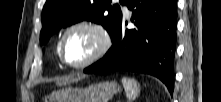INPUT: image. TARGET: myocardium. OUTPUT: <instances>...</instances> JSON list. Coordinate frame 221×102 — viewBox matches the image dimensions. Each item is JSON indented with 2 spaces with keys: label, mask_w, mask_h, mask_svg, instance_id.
Returning a JSON list of instances; mask_svg holds the SVG:
<instances>
[{
  "label": "myocardium",
  "mask_w": 221,
  "mask_h": 102,
  "mask_svg": "<svg viewBox=\"0 0 221 102\" xmlns=\"http://www.w3.org/2000/svg\"><path fill=\"white\" fill-rule=\"evenodd\" d=\"M79 29H84L91 32L96 38L97 45L93 53L87 59L80 63L72 64L69 63L65 58L64 45L68 35L71 32ZM111 46L112 36L109 30L103 24L92 20H80L72 23L65 29L58 44V55L64 65L73 69H83L100 60L109 51Z\"/></svg>",
  "instance_id": "1"
}]
</instances>
